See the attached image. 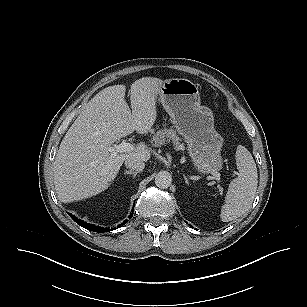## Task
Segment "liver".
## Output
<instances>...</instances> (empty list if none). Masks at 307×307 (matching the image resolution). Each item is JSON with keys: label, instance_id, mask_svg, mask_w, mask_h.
Returning <instances> with one entry per match:
<instances>
[{"label": "liver", "instance_id": "6515ba94", "mask_svg": "<svg viewBox=\"0 0 307 307\" xmlns=\"http://www.w3.org/2000/svg\"><path fill=\"white\" fill-rule=\"evenodd\" d=\"M163 82L153 77L136 80L130 89L132 112L125 100V85L107 87L87 103L55 157L54 184L61 202L78 201L104 191L128 158L145 162L150 159L143 142L132 152L116 156L111 155L109 147L134 131H151L157 116L156 97Z\"/></svg>", "mask_w": 307, "mask_h": 307}]
</instances>
